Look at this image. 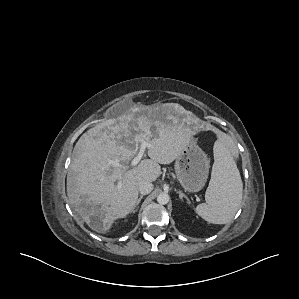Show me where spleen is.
Returning a JSON list of instances; mask_svg holds the SVG:
<instances>
[{
  "instance_id": "1",
  "label": "spleen",
  "mask_w": 299,
  "mask_h": 299,
  "mask_svg": "<svg viewBox=\"0 0 299 299\" xmlns=\"http://www.w3.org/2000/svg\"><path fill=\"white\" fill-rule=\"evenodd\" d=\"M214 164L206 203L196 207V213L212 224L230 222L242 201L243 183L236 162L223 140L218 139L213 148Z\"/></svg>"
}]
</instances>
